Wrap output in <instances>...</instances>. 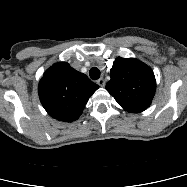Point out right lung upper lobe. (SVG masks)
I'll return each mask as SVG.
<instances>
[{
    "instance_id": "right-lung-upper-lobe-1",
    "label": "right lung upper lobe",
    "mask_w": 187,
    "mask_h": 187,
    "mask_svg": "<svg viewBox=\"0 0 187 187\" xmlns=\"http://www.w3.org/2000/svg\"><path fill=\"white\" fill-rule=\"evenodd\" d=\"M99 86L66 62L51 66L39 82L40 101L47 113L64 122L79 118Z\"/></svg>"
}]
</instances>
